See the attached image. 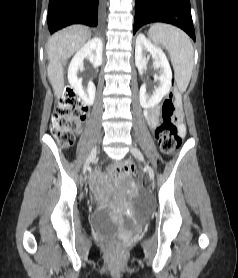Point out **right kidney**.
I'll return each instance as SVG.
<instances>
[{"mask_svg":"<svg viewBox=\"0 0 238 278\" xmlns=\"http://www.w3.org/2000/svg\"><path fill=\"white\" fill-rule=\"evenodd\" d=\"M103 44L101 39L93 38L88 41L72 58L68 68V81L79 97L87 104L92 105L95 99L96 88L89 81L87 89L82 86V81L77 77L79 69H83V60L88 58L93 66L97 68L102 64Z\"/></svg>","mask_w":238,"mask_h":278,"instance_id":"obj_1","label":"right kidney"}]
</instances>
